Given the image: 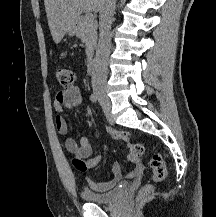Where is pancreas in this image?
I'll return each instance as SVG.
<instances>
[{
    "label": "pancreas",
    "mask_w": 216,
    "mask_h": 217,
    "mask_svg": "<svg viewBox=\"0 0 216 217\" xmlns=\"http://www.w3.org/2000/svg\"><path fill=\"white\" fill-rule=\"evenodd\" d=\"M76 35L85 44L87 57H91L97 41V22L89 21L84 16L80 17L77 21Z\"/></svg>",
    "instance_id": "cf45deb5"
}]
</instances>
